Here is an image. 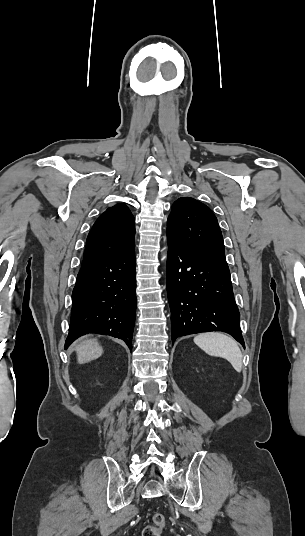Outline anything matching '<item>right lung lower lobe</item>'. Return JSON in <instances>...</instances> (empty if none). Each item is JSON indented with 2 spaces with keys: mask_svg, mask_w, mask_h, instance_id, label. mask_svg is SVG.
I'll list each match as a JSON object with an SVG mask.
<instances>
[{
  "mask_svg": "<svg viewBox=\"0 0 305 536\" xmlns=\"http://www.w3.org/2000/svg\"><path fill=\"white\" fill-rule=\"evenodd\" d=\"M135 290L134 249L82 264L72 293L71 323L65 349L87 333L122 339L132 349Z\"/></svg>",
  "mask_w": 305,
  "mask_h": 536,
  "instance_id": "98d812e1",
  "label": "right lung lower lobe"
}]
</instances>
